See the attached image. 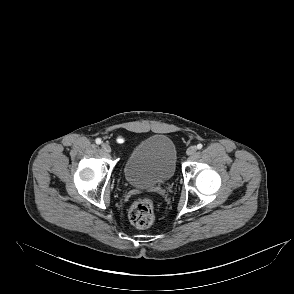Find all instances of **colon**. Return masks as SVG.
<instances>
[{
    "label": "colon",
    "mask_w": 294,
    "mask_h": 294,
    "mask_svg": "<svg viewBox=\"0 0 294 294\" xmlns=\"http://www.w3.org/2000/svg\"><path fill=\"white\" fill-rule=\"evenodd\" d=\"M154 218V205L149 198H140L131 205L129 220L135 227L147 228L153 223Z\"/></svg>",
    "instance_id": "1"
}]
</instances>
